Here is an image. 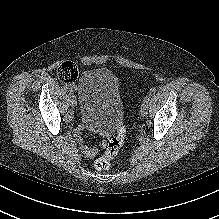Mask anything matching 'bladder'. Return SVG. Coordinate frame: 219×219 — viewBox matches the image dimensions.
I'll return each mask as SVG.
<instances>
[{
  "mask_svg": "<svg viewBox=\"0 0 219 219\" xmlns=\"http://www.w3.org/2000/svg\"><path fill=\"white\" fill-rule=\"evenodd\" d=\"M77 93L84 122L112 130L122 119L123 102L112 71L106 68L85 71L79 78Z\"/></svg>",
  "mask_w": 219,
  "mask_h": 219,
  "instance_id": "obj_1",
  "label": "bladder"
}]
</instances>
